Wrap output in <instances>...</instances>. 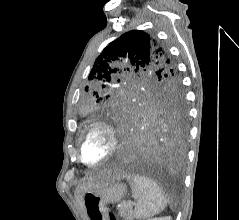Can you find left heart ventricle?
<instances>
[{
    "label": "left heart ventricle",
    "mask_w": 239,
    "mask_h": 220,
    "mask_svg": "<svg viewBox=\"0 0 239 220\" xmlns=\"http://www.w3.org/2000/svg\"><path fill=\"white\" fill-rule=\"evenodd\" d=\"M108 144L109 139L104 131L100 129L92 131L83 142V158L88 162L101 159L108 151Z\"/></svg>",
    "instance_id": "b2bd125f"
}]
</instances>
